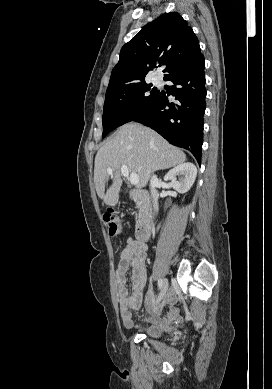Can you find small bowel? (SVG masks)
<instances>
[{"instance_id": "1", "label": "small bowel", "mask_w": 272, "mask_h": 389, "mask_svg": "<svg viewBox=\"0 0 272 389\" xmlns=\"http://www.w3.org/2000/svg\"><path fill=\"white\" fill-rule=\"evenodd\" d=\"M130 270L132 274L131 293H128L126 287V272ZM147 281L146 270V246L144 243L130 241L120 254L119 263L115 270L116 292L120 307V315L125 327L133 328L134 320L132 310H138L142 304L143 291ZM154 296L149 295L147 305H151ZM170 314H175L173 307L174 297L168 295L165 301ZM156 310L155 314H159ZM151 332L152 329L146 330Z\"/></svg>"}]
</instances>
